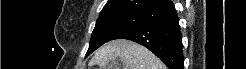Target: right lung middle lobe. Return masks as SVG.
Returning <instances> with one entry per match:
<instances>
[{
  "label": "right lung middle lobe",
  "instance_id": "obj_1",
  "mask_svg": "<svg viewBox=\"0 0 246 69\" xmlns=\"http://www.w3.org/2000/svg\"><path fill=\"white\" fill-rule=\"evenodd\" d=\"M141 20L142 15H119L98 19L92 32L86 57L104 43L116 39V37L138 24Z\"/></svg>",
  "mask_w": 246,
  "mask_h": 69
}]
</instances>
